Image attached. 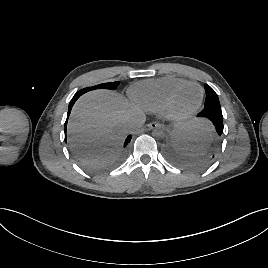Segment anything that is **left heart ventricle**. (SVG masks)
<instances>
[{"mask_svg":"<svg viewBox=\"0 0 268 268\" xmlns=\"http://www.w3.org/2000/svg\"><path fill=\"white\" fill-rule=\"evenodd\" d=\"M200 98V90L196 86L183 89L174 101V109L179 113H185L193 109Z\"/></svg>","mask_w":268,"mask_h":268,"instance_id":"left-heart-ventricle-1","label":"left heart ventricle"}]
</instances>
